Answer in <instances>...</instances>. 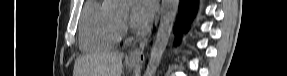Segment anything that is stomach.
<instances>
[{"label": "stomach", "instance_id": "obj_1", "mask_svg": "<svg viewBox=\"0 0 287 76\" xmlns=\"http://www.w3.org/2000/svg\"><path fill=\"white\" fill-rule=\"evenodd\" d=\"M129 64L131 67H135L139 64V62L138 61H130Z\"/></svg>", "mask_w": 287, "mask_h": 76}]
</instances>
